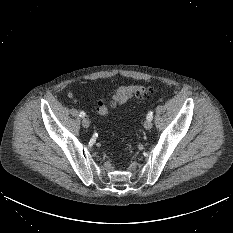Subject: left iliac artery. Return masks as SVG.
I'll return each instance as SVG.
<instances>
[{"label":"left iliac artery","mask_w":233,"mask_h":233,"mask_svg":"<svg viewBox=\"0 0 233 233\" xmlns=\"http://www.w3.org/2000/svg\"><path fill=\"white\" fill-rule=\"evenodd\" d=\"M152 119H153V112L149 111L148 114H147V120H151L152 121Z\"/></svg>","instance_id":"1"}]
</instances>
